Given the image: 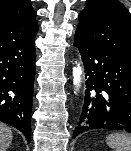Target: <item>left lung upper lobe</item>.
<instances>
[{"label": "left lung upper lobe", "mask_w": 131, "mask_h": 151, "mask_svg": "<svg viewBox=\"0 0 131 151\" xmlns=\"http://www.w3.org/2000/svg\"><path fill=\"white\" fill-rule=\"evenodd\" d=\"M76 33L98 47L131 60V16L118 0H86Z\"/></svg>", "instance_id": "obj_1"}]
</instances>
